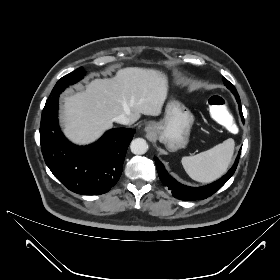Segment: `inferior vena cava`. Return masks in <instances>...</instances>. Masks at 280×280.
<instances>
[{"instance_id":"602c4592","label":"inferior vena cava","mask_w":280,"mask_h":280,"mask_svg":"<svg viewBox=\"0 0 280 280\" xmlns=\"http://www.w3.org/2000/svg\"><path fill=\"white\" fill-rule=\"evenodd\" d=\"M114 121L120 124L128 125L131 123L130 118L125 114H120L114 118Z\"/></svg>"}]
</instances>
